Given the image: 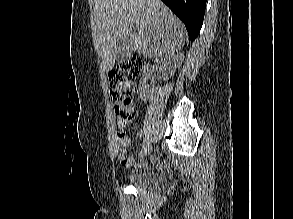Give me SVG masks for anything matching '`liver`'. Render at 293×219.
Masks as SVG:
<instances>
[{"mask_svg":"<svg viewBox=\"0 0 293 219\" xmlns=\"http://www.w3.org/2000/svg\"><path fill=\"white\" fill-rule=\"evenodd\" d=\"M94 16L93 42L106 71L125 35L134 52L149 58L171 55L185 41L184 25L161 0H96Z\"/></svg>","mask_w":293,"mask_h":219,"instance_id":"1","label":"liver"}]
</instances>
